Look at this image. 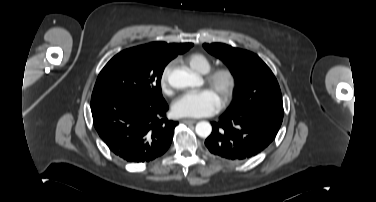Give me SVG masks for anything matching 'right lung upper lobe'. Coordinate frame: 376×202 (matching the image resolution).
I'll use <instances>...</instances> for the list:
<instances>
[{
    "label": "right lung upper lobe",
    "mask_w": 376,
    "mask_h": 202,
    "mask_svg": "<svg viewBox=\"0 0 376 202\" xmlns=\"http://www.w3.org/2000/svg\"><path fill=\"white\" fill-rule=\"evenodd\" d=\"M188 45H193V44L192 43L167 44L165 42H152V43L141 45L138 47L141 48L145 52L146 56L148 57L150 61L156 63V62L171 58L175 53H178L180 50H182Z\"/></svg>",
    "instance_id": "obj_1"
}]
</instances>
